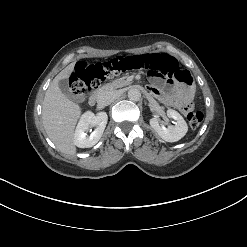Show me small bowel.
Returning a JSON list of instances; mask_svg holds the SVG:
<instances>
[{
  "mask_svg": "<svg viewBox=\"0 0 247 247\" xmlns=\"http://www.w3.org/2000/svg\"><path fill=\"white\" fill-rule=\"evenodd\" d=\"M146 73L149 75L151 81L149 91L159 98L163 104L176 108L183 114H187L191 110L193 96L192 88L178 85L173 82H171L167 87L162 85L163 79L166 75L152 72L150 70Z\"/></svg>",
  "mask_w": 247,
  "mask_h": 247,
  "instance_id": "1",
  "label": "small bowel"
}]
</instances>
